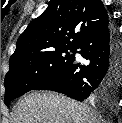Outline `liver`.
<instances>
[{
	"label": "liver",
	"instance_id": "6515ba94",
	"mask_svg": "<svg viewBox=\"0 0 122 123\" xmlns=\"http://www.w3.org/2000/svg\"><path fill=\"white\" fill-rule=\"evenodd\" d=\"M99 115L86 104L51 91H32L20 99L11 123H96Z\"/></svg>",
	"mask_w": 122,
	"mask_h": 123
}]
</instances>
